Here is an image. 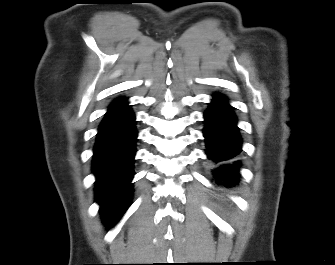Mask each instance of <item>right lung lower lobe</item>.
Returning a JSON list of instances; mask_svg holds the SVG:
<instances>
[{
  "label": "right lung lower lobe",
  "mask_w": 335,
  "mask_h": 265,
  "mask_svg": "<svg viewBox=\"0 0 335 265\" xmlns=\"http://www.w3.org/2000/svg\"><path fill=\"white\" fill-rule=\"evenodd\" d=\"M137 131L135 116L125 98L113 101L102 120L94 147L96 201L111 228L130 203Z\"/></svg>",
  "instance_id": "obj_1"
}]
</instances>
